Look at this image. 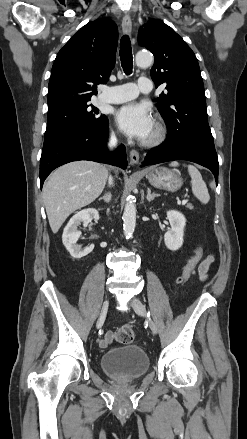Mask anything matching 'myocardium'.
Listing matches in <instances>:
<instances>
[{
	"label": "myocardium",
	"instance_id": "1",
	"mask_svg": "<svg viewBox=\"0 0 247 439\" xmlns=\"http://www.w3.org/2000/svg\"><path fill=\"white\" fill-rule=\"evenodd\" d=\"M167 137V129L164 123L157 119L154 123V129L151 137L143 142L144 146L152 147L161 144Z\"/></svg>",
	"mask_w": 247,
	"mask_h": 439
}]
</instances>
